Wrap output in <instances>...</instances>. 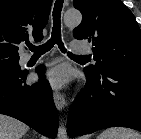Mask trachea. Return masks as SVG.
Wrapping results in <instances>:
<instances>
[{
	"instance_id": "3493384b",
	"label": "trachea",
	"mask_w": 141,
	"mask_h": 139,
	"mask_svg": "<svg viewBox=\"0 0 141 139\" xmlns=\"http://www.w3.org/2000/svg\"><path fill=\"white\" fill-rule=\"evenodd\" d=\"M64 0H56L53 8V27H52V36L45 43L40 46H34L32 44H27V46L35 53V54H44L51 50L55 44L59 46V49L66 53V49L61 39V11L63 7ZM68 56L75 58H87V56L81 55H73L72 53H68Z\"/></svg>"
}]
</instances>
